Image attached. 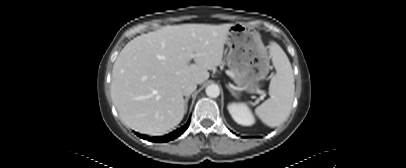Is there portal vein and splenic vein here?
I'll list each match as a JSON object with an SVG mask.
<instances>
[{"instance_id":"18ae733b","label":"portal vein and splenic vein","mask_w":406,"mask_h":168,"mask_svg":"<svg viewBox=\"0 0 406 168\" xmlns=\"http://www.w3.org/2000/svg\"><path fill=\"white\" fill-rule=\"evenodd\" d=\"M194 57V55H191V58H193ZM263 98V96L261 97V99Z\"/></svg>"}]
</instances>
